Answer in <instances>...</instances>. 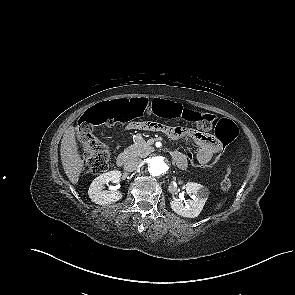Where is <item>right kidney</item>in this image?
Masks as SVG:
<instances>
[{
	"mask_svg": "<svg viewBox=\"0 0 295 295\" xmlns=\"http://www.w3.org/2000/svg\"><path fill=\"white\" fill-rule=\"evenodd\" d=\"M121 175V171L113 170L107 173H103L95 178L88 190V195L92 202L99 205H105L119 201L123 196L122 193L118 191L110 192L104 190V184H107L110 181L112 183H119Z\"/></svg>",
	"mask_w": 295,
	"mask_h": 295,
	"instance_id": "right-kidney-1",
	"label": "right kidney"
}]
</instances>
